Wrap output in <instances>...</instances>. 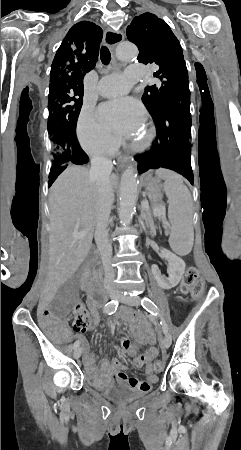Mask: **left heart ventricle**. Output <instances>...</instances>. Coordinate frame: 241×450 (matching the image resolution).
<instances>
[{
    "instance_id": "left-heart-ventricle-1",
    "label": "left heart ventricle",
    "mask_w": 241,
    "mask_h": 450,
    "mask_svg": "<svg viewBox=\"0 0 241 450\" xmlns=\"http://www.w3.org/2000/svg\"><path fill=\"white\" fill-rule=\"evenodd\" d=\"M142 137H144V131L138 130L132 135V140L134 143H139L140 141H142Z\"/></svg>"
}]
</instances>
